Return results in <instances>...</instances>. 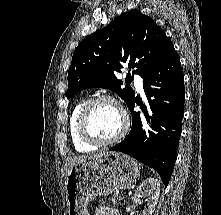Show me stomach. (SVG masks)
<instances>
[{"mask_svg":"<svg viewBox=\"0 0 221 215\" xmlns=\"http://www.w3.org/2000/svg\"><path fill=\"white\" fill-rule=\"evenodd\" d=\"M139 176L140 164L119 152H105L75 164L65 182L68 215H88L87 205L96 196L125 189Z\"/></svg>","mask_w":221,"mask_h":215,"instance_id":"stomach-1","label":"stomach"}]
</instances>
